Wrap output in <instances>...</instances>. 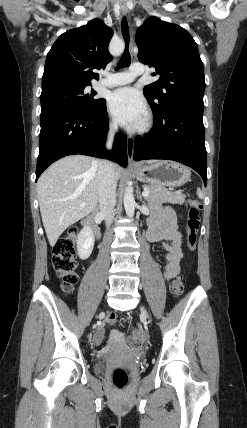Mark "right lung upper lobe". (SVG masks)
<instances>
[{"mask_svg": "<svg viewBox=\"0 0 247 428\" xmlns=\"http://www.w3.org/2000/svg\"><path fill=\"white\" fill-rule=\"evenodd\" d=\"M112 30L99 19L62 34L47 54L42 92L62 86H89L98 79L93 69L112 60L108 45Z\"/></svg>", "mask_w": 247, "mask_h": 428, "instance_id": "right-lung-upper-lobe-1", "label": "right lung upper lobe"}]
</instances>
